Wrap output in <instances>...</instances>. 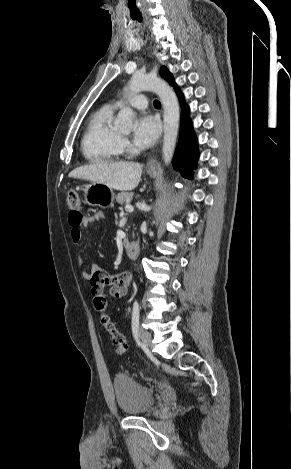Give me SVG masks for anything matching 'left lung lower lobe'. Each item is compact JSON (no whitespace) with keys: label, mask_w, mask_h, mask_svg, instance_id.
<instances>
[{"label":"left lung lower lobe","mask_w":291,"mask_h":469,"mask_svg":"<svg viewBox=\"0 0 291 469\" xmlns=\"http://www.w3.org/2000/svg\"><path fill=\"white\" fill-rule=\"evenodd\" d=\"M171 85L174 87L182 107L181 135L174 155L173 165L175 170L182 173V176L192 179L194 176L193 169L196 168L199 158L198 141L189 118L190 109L184 101L183 93L175 81Z\"/></svg>","instance_id":"0a47b994"}]
</instances>
